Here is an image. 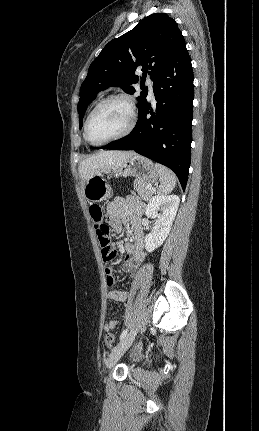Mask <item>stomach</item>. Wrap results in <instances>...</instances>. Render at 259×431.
Instances as JSON below:
<instances>
[{
  "mask_svg": "<svg viewBox=\"0 0 259 431\" xmlns=\"http://www.w3.org/2000/svg\"><path fill=\"white\" fill-rule=\"evenodd\" d=\"M107 173L114 177L135 176L146 184L155 183L159 174L153 162L143 156L135 154L125 160L121 165L109 170ZM85 198L89 202H100L111 198L112 188L103 175L89 178L83 188Z\"/></svg>",
  "mask_w": 259,
  "mask_h": 431,
  "instance_id": "obj_1",
  "label": "stomach"
}]
</instances>
